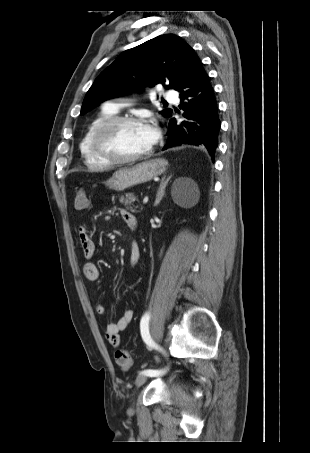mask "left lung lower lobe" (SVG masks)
Wrapping results in <instances>:
<instances>
[{
	"instance_id": "left-lung-lower-lobe-1",
	"label": "left lung lower lobe",
	"mask_w": 310,
	"mask_h": 453,
	"mask_svg": "<svg viewBox=\"0 0 310 453\" xmlns=\"http://www.w3.org/2000/svg\"><path fill=\"white\" fill-rule=\"evenodd\" d=\"M175 90L180 93V108L187 120L177 123L175 118L170 119L169 139L163 150L182 144L203 145L213 159L221 122L212 85L195 52Z\"/></svg>"
}]
</instances>
